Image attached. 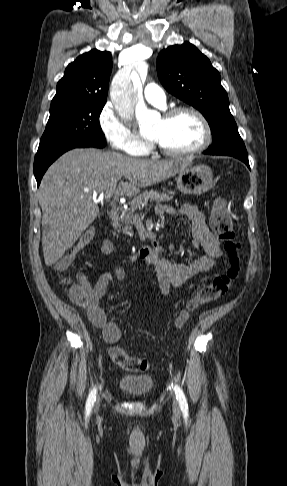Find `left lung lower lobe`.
<instances>
[{"label": "left lung lower lobe", "instance_id": "obj_1", "mask_svg": "<svg viewBox=\"0 0 287 486\" xmlns=\"http://www.w3.org/2000/svg\"><path fill=\"white\" fill-rule=\"evenodd\" d=\"M236 158H238L241 161H243L248 166V168L250 169L249 162H248V157L238 156Z\"/></svg>", "mask_w": 287, "mask_h": 486}]
</instances>
